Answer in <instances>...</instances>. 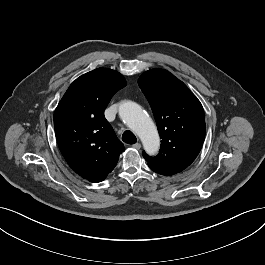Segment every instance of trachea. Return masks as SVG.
<instances>
[{
    "mask_svg": "<svg viewBox=\"0 0 265 265\" xmlns=\"http://www.w3.org/2000/svg\"><path fill=\"white\" fill-rule=\"evenodd\" d=\"M122 140L127 144H135L137 142L136 136L129 130L123 133Z\"/></svg>",
    "mask_w": 265,
    "mask_h": 265,
    "instance_id": "obj_1",
    "label": "trachea"
}]
</instances>
